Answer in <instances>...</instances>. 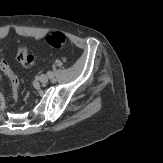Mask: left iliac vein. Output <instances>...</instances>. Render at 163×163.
Returning a JSON list of instances; mask_svg holds the SVG:
<instances>
[{"label":"left iliac vein","instance_id":"1","mask_svg":"<svg viewBox=\"0 0 163 163\" xmlns=\"http://www.w3.org/2000/svg\"><path fill=\"white\" fill-rule=\"evenodd\" d=\"M38 80H39L41 83L46 84V83L48 82L49 78H48L47 75L42 74V75L39 76Z\"/></svg>","mask_w":163,"mask_h":163}]
</instances>
